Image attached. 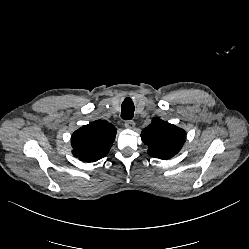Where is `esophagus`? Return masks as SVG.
Instances as JSON below:
<instances>
[{"label": "esophagus", "mask_w": 249, "mask_h": 249, "mask_svg": "<svg viewBox=\"0 0 249 249\" xmlns=\"http://www.w3.org/2000/svg\"><path fill=\"white\" fill-rule=\"evenodd\" d=\"M125 127L127 129H134L135 128V122L133 120H127L125 122Z\"/></svg>", "instance_id": "1"}]
</instances>
